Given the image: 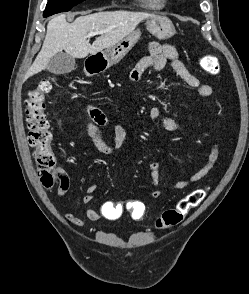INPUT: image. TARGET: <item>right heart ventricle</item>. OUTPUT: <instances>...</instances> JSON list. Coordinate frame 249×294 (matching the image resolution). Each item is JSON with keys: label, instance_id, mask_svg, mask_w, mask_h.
I'll list each match as a JSON object with an SVG mask.
<instances>
[{"label": "right heart ventricle", "instance_id": "1", "mask_svg": "<svg viewBox=\"0 0 249 294\" xmlns=\"http://www.w3.org/2000/svg\"><path fill=\"white\" fill-rule=\"evenodd\" d=\"M147 9H160L164 6V0H138Z\"/></svg>", "mask_w": 249, "mask_h": 294}]
</instances>
